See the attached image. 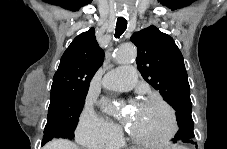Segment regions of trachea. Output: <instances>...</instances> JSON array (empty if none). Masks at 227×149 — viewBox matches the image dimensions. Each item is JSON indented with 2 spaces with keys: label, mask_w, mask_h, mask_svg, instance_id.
<instances>
[{
  "label": "trachea",
  "mask_w": 227,
  "mask_h": 149,
  "mask_svg": "<svg viewBox=\"0 0 227 149\" xmlns=\"http://www.w3.org/2000/svg\"><path fill=\"white\" fill-rule=\"evenodd\" d=\"M127 28V21L123 19H117L115 38H119Z\"/></svg>",
  "instance_id": "trachea-1"
}]
</instances>
